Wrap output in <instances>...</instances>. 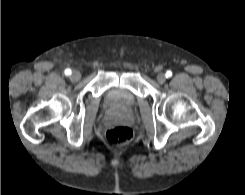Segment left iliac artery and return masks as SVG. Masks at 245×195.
<instances>
[{
    "label": "left iliac artery",
    "mask_w": 245,
    "mask_h": 195,
    "mask_svg": "<svg viewBox=\"0 0 245 195\" xmlns=\"http://www.w3.org/2000/svg\"><path fill=\"white\" fill-rule=\"evenodd\" d=\"M167 78H170L172 76V71L168 70L165 74Z\"/></svg>",
    "instance_id": "44dca946"
}]
</instances>
